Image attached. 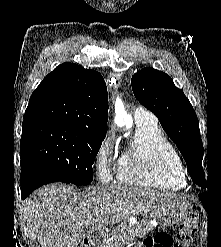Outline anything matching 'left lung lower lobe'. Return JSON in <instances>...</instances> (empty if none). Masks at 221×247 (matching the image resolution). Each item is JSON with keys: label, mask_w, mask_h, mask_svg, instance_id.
Wrapping results in <instances>:
<instances>
[{"label": "left lung lower lobe", "mask_w": 221, "mask_h": 247, "mask_svg": "<svg viewBox=\"0 0 221 247\" xmlns=\"http://www.w3.org/2000/svg\"><path fill=\"white\" fill-rule=\"evenodd\" d=\"M199 198L205 207L207 205V202H208V193L204 192V193L199 194Z\"/></svg>", "instance_id": "1"}]
</instances>
